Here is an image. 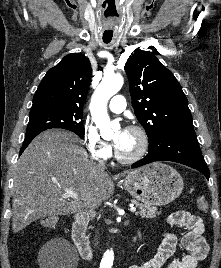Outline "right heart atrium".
<instances>
[{
  "instance_id": "d8ad5b80",
  "label": "right heart atrium",
  "mask_w": 221,
  "mask_h": 268,
  "mask_svg": "<svg viewBox=\"0 0 221 268\" xmlns=\"http://www.w3.org/2000/svg\"><path fill=\"white\" fill-rule=\"evenodd\" d=\"M84 144L94 159L106 160L112 154V149L100 136L97 128L90 122H86L83 128Z\"/></svg>"
}]
</instances>
